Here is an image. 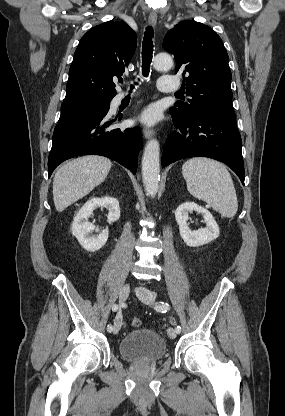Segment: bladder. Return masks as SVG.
Segmentation results:
<instances>
[{
    "label": "bladder",
    "mask_w": 285,
    "mask_h": 416,
    "mask_svg": "<svg viewBox=\"0 0 285 416\" xmlns=\"http://www.w3.org/2000/svg\"><path fill=\"white\" fill-rule=\"evenodd\" d=\"M118 352L121 360L131 363H156L166 357L167 345L153 328H140L130 330L127 336L122 337L118 342Z\"/></svg>",
    "instance_id": "31cf9c89"
}]
</instances>
